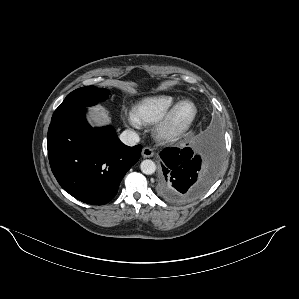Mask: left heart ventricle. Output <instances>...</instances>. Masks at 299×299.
<instances>
[{
  "label": "left heart ventricle",
  "mask_w": 299,
  "mask_h": 299,
  "mask_svg": "<svg viewBox=\"0 0 299 299\" xmlns=\"http://www.w3.org/2000/svg\"><path fill=\"white\" fill-rule=\"evenodd\" d=\"M191 112H192V110H191L190 107H184V108H182L178 112L177 121L179 123H184L189 118V116L191 115Z\"/></svg>",
  "instance_id": "b2bd125f"
}]
</instances>
